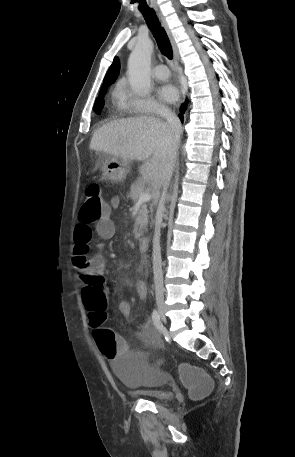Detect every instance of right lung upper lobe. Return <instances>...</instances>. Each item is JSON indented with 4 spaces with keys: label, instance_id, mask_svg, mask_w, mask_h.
Returning a JSON list of instances; mask_svg holds the SVG:
<instances>
[{
    "label": "right lung upper lobe",
    "instance_id": "1",
    "mask_svg": "<svg viewBox=\"0 0 295 457\" xmlns=\"http://www.w3.org/2000/svg\"><path fill=\"white\" fill-rule=\"evenodd\" d=\"M119 69H120V62H119L118 57H115L112 65L110 66L109 70L107 71V74L104 78V84L102 87H107L114 82V80L116 79V77L119 73Z\"/></svg>",
    "mask_w": 295,
    "mask_h": 457
}]
</instances>
